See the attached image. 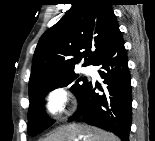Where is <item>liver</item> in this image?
<instances>
[{
  "label": "liver",
  "instance_id": "liver-1",
  "mask_svg": "<svg viewBox=\"0 0 155 141\" xmlns=\"http://www.w3.org/2000/svg\"><path fill=\"white\" fill-rule=\"evenodd\" d=\"M119 141L114 134L85 124L58 127L44 141Z\"/></svg>",
  "mask_w": 155,
  "mask_h": 141
}]
</instances>
